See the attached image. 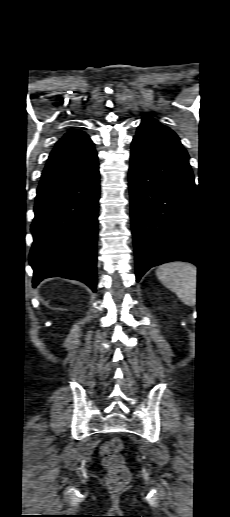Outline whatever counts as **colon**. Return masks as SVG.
Here are the masks:
<instances>
[{"instance_id": "5ec220e1", "label": "colon", "mask_w": 230, "mask_h": 517, "mask_svg": "<svg viewBox=\"0 0 230 517\" xmlns=\"http://www.w3.org/2000/svg\"><path fill=\"white\" fill-rule=\"evenodd\" d=\"M123 442L113 438L101 447L102 464L107 470V484L111 489L123 488L130 481V472L121 455Z\"/></svg>"}]
</instances>
